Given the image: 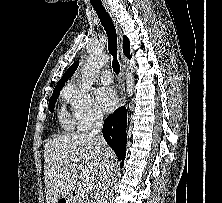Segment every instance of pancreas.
Masks as SVG:
<instances>
[{
    "label": "pancreas",
    "instance_id": "obj_1",
    "mask_svg": "<svg viewBox=\"0 0 222 203\" xmlns=\"http://www.w3.org/2000/svg\"><path fill=\"white\" fill-rule=\"evenodd\" d=\"M80 203H93V194L89 193V194H85L82 198H81V202Z\"/></svg>",
    "mask_w": 222,
    "mask_h": 203
}]
</instances>
